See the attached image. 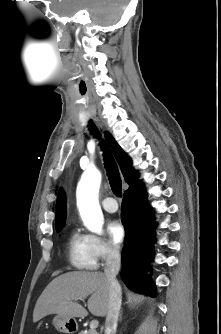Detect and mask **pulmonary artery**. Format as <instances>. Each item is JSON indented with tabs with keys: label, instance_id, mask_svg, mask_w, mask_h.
<instances>
[{
	"label": "pulmonary artery",
	"instance_id": "pulmonary-artery-1",
	"mask_svg": "<svg viewBox=\"0 0 221 334\" xmlns=\"http://www.w3.org/2000/svg\"><path fill=\"white\" fill-rule=\"evenodd\" d=\"M102 207L105 211H107L109 213H113V212H116L118 210V204H117L116 200L111 196L106 197L102 201Z\"/></svg>",
	"mask_w": 221,
	"mask_h": 334
}]
</instances>
